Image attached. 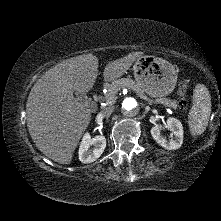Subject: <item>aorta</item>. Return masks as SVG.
Wrapping results in <instances>:
<instances>
[{"label":"aorta","mask_w":221,"mask_h":221,"mask_svg":"<svg viewBox=\"0 0 221 221\" xmlns=\"http://www.w3.org/2000/svg\"><path fill=\"white\" fill-rule=\"evenodd\" d=\"M139 110L140 105L134 97H126L121 103V111L125 116L133 117Z\"/></svg>","instance_id":"1"}]
</instances>
